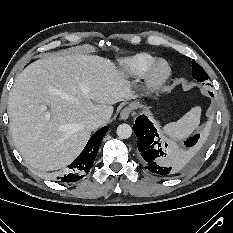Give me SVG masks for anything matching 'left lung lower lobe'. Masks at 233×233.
<instances>
[{"mask_svg": "<svg viewBox=\"0 0 233 233\" xmlns=\"http://www.w3.org/2000/svg\"><path fill=\"white\" fill-rule=\"evenodd\" d=\"M210 95L213 96L211 92ZM133 128L138 139V150L145 161V169L156 175L170 177L179 168L190 166L200 155L199 135L184 141L181 150H175L161 141L156 128L146 116L140 115Z\"/></svg>", "mask_w": 233, "mask_h": 233, "instance_id": "1", "label": "left lung lower lobe"}]
</instances>
